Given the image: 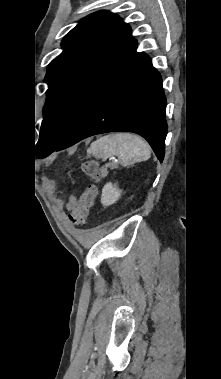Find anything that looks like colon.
Masks as SVG:
<instances>
[{"mask_svg": "<svg viewBox=\"0 0 221 379\" xmlns=\"http://www.w3.org/2000/svg\"><path fill=\"white\" fill-rule=\"evenodd\" d=\"M82 172L90 178L91 182L86 185L79 200L75 203L69 220L73 225H84L98 195V183L104 177V170L94 160H87L82 163Z\"/></svg>", "mask_w": 221, "mask_h": 379, "instance_id": "1", "label": "colon"}]
</instances>
